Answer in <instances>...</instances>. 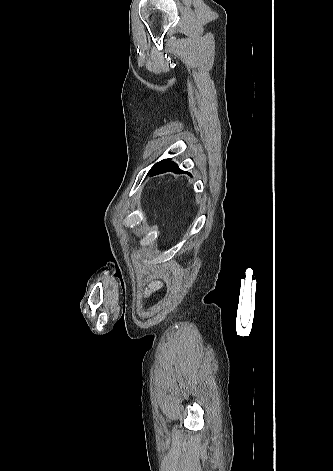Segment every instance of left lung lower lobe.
<instances>
[{"mask_svg":"<svg viewBox=\"0 0 333 471\" xmlns=\"http://www.w3.org/2000/svg\"><path fill=\"white\" fill-rule=\"evenodd\" d=\"M167 169H168L167 172L171 171V172H175V173H187V174L191 175L188 172H183L182 170H180L178 165L176 163L172 162V161L169 162V165H168Z\"/></svg>","mask_w":333,"mask_h":471,"instance_id":"1","label":"left lung lower lobe"}]
</instances>
